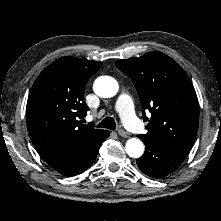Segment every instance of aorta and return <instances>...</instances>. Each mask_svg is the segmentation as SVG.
I'll use <instances>...</instances> for the list:
<instances>
[{"label": "aorta", "mask_w": 221, "mask_h": 221, "mask_svg": "<svg viewBox=\"0 0 221 221\" xmlns=\"http://www.w3.org/2000/svg\"><path fill=\"white\" fill-rule=\"evenodd\" d=\"M93 89L99 97L110 98L117 94L119 85L114 78L101 76L95 80ZM125 150L128 156L139 158L144 152V145L138 138H131L126 142Z\"/></svg>", "instance_id": "aorta-1"}]
</instances>
